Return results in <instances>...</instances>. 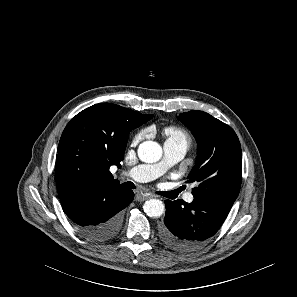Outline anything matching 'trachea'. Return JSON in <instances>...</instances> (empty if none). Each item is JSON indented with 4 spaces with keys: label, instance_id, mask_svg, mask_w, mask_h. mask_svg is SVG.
<instances>
[{
    "label": "trachea",
    "instance_id": "trachea-1",
    "mask_svg": "<svg viewBox=\"0 0 297 297\" xmlns=\"http://www.w3.org/2000/svg\"><path fill=\"white\" fill-rule=\"evenodd\" d=\"M122 186H123V187H126V188H131V189L135 188V185H134L132 182H125V183L122 184ZM180 191H182V190L180 189V190H178V191H175V192H174L175 195H178V193H179Z\"/></svg>",
    "mask_w": 297,
    "mask_h": 297
}]
</instances>
